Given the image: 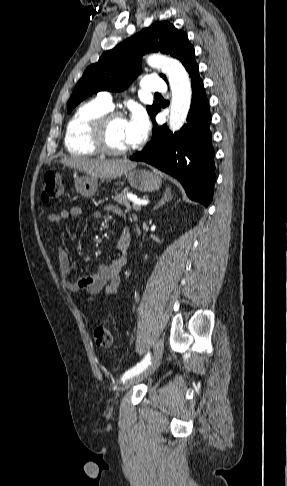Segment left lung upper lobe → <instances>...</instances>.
<instances>
[{"instance_id": "1", "label": "left lung upper lobe", "mask_w": 287, "mask_h": 486, "mask_svg": "<svg viewBox=\"0 0 287 486\" xmlns=\"http://www.w3.org/2000/svg\"><path fill=\"white\" fill-rule=\"evenodd\" d=\"M149 52H162L179 59L184 66L195 56L187 34L168 21L153 23L136 35L127 38L114 49L104 52L97 63L90 65L78 81L69 101L68 113L88 96L99 91L121 92L139 74V62ZM161 77L167 81L166 76ZM154 119L160 106L146 107Z\"/></svg>"}]
</instances>
